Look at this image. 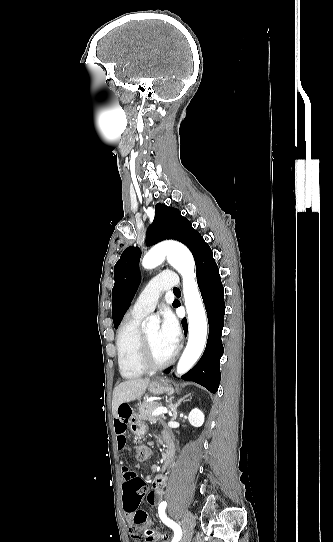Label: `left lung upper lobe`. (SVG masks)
I'll return each instance as SVG.
<instances>
[{
  "label": "left lung upper lobe",
  "instance_id": "1",
  "mask_svg": "<svg viewBox=\"0 0 333 542\" xmlns=\"http://www.w3.org/2000/svg\"><path fill=\"white\" fill-rule=\"evenodd\" d=\"M166 239L178 240L185 244L195 261L201 246L206 243L178 209L158 203L155 206L153 223L147 230L146 244L150 246ZM140 257L141 250L138 247H128L114 266L112 317L115 328L118 327L139 286Z\"/></svg>",
  "mask_w": 333,
  "mask_h": 542
}]
</instances>
